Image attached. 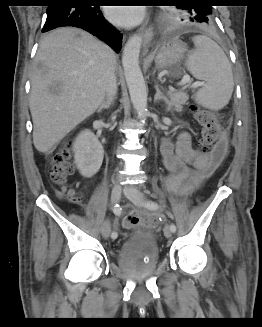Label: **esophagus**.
Wrapping results in <instances>:
<instances>
[{"label":"esophagus","mask_w":262,"mask_h":327,"mask_svg":"<svg viewBox=\"0 0 262 327\" xmlns=\"http://www.w3.org/2000/svg\"><path fill=\"white\" fill-rule=\"evenodd\" d=\"M140 34L143 38V50L144 53L148 52L150 42L153 37V26L151 24H146L140 29Z\"/></svg>","instance_id":"obj_1"}]
</instances>
